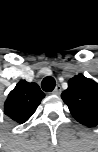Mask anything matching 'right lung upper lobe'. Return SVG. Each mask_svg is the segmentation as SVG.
I'll list each match as a JSON object with an SVG mask.
<instances>
[{"instance_id":"cb5924a9","label":"right lung upper lobe","mask_w":98,"mask_h":152,"mask_svg":"<svg viewBox=\"0 0 98 152\" xmlns=\"http://www.w3.org/2000/svg\"><path fill=\"white\" fill-rule=\"evenodd\" d=\"M45 94L36 83L21 80L9 93L4 113L17 123L26 122L36 111Z\"/></svg>"}]
</instances>
